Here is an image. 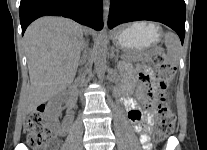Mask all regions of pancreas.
Here are the masks:
<instances>
[{"label": "pancreas", "instance_id": "obj_1", "mask_svg": "<svg viewBox=\"0 0 207 150\" xmlns=\"http://www.w3.org/2000/svg\"><path fill=\"white\" fill-rule=\"evenodd\" d=\"M124 60L128 61H141V62H149L152 58V52L146 51L144 53H138L133 55H128L123 57Z\"/></svg>", "mask_w": 207, "mask_h": 150}]
</instances>
